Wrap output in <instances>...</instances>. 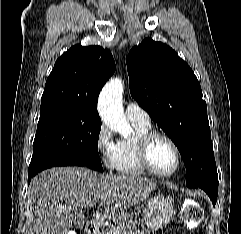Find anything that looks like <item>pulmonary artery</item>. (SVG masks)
<instances>
[{
	"mask_svg": "<svg viewBox=\"0 0 241 234\" xmlns=\"http://www.w3.org/2000/svg\"><path fill=\"white\" fill-rule=\"evenodd\" d=\"M125 113L131 122L150 124L149 114L136 103H128L126 105Z\"/></svg>",
	"mask_w": 241,
	"mask_h": 234,
	"instance_id": "1",
	"label": "pulmonary artery"
}]
</instances>
